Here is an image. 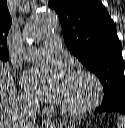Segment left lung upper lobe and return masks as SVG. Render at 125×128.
Instances as JSON below:
<instances>
[{"label":"left lung upper lobe","instance_id":"obj_1","mask_svg":"<svg viewBox=\"0 0 125 128\" xmlns=\"http://www.w3.org/2000/svg\"><path fill=\"white\" fill-rule=\"evenodd\" d=\"M60 17L66 46L101 81L102 105L125 98L124 60L116 27L97 0H50Z\"/></svg>","mask_w":125,"mask_h":128}]
</instances>
